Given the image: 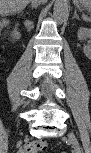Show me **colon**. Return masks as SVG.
Returning a JSON list of instances; mask_svg holds the SVG:
<instances>
[{"label": "colon", "mask_w": 91, "mask_h": 153, "mask_svg": "<svg viewBox=\"0 0 91 153\" xmlns=\"http://www.w3.org/2000/svg\"><path fill=\"white\" fill-rule=\"evenodd\" d=\"M47 149V143L44 140H32L25 144L21 153H37Z\"/></svg>", "instance_id": "colon-1"}]
</instances>
